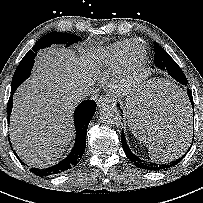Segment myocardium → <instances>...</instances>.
<instances>
[{"label":"myocardium","instance_id":"obj_1","mask_svg":"<svg viewBox=\"0 0 203 203\" xmlns=\"http://www.w3.org/2000/svg\"><path fill=\"white\" fill-rule=\"evenodd\" d=\"M135 45L142 47V55L139 59L133 60L131 53ZM147 51L145 45L139 40H132L126 53L116 69L114 82L119 89H125L137 77L146 62Z\"/></svg>","mask_w":203,"mask_h":203}]
</instances>
